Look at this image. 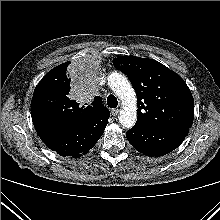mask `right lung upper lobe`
<instances>
[{
    "mask_svg": "<svg viewBox=\"0 0 220 220\" xmlns=\"http://www.w3.org/2000/svg\"><path fill=\"white\" fill-rule=\"evenodd\" d=\"M65 62L50 70L38 83L31 101V117L36 128L44 126H74L94 115L110 113L101 97H95L91 106L80 107L70 98L69 64Z\"/></svg>",
    "mask_w": 220,
    "mask_h": 220,
    "instance_id": "1",
    "label": "right lung upper lobe"
}]
</instances>
